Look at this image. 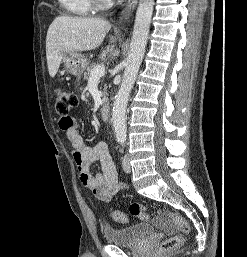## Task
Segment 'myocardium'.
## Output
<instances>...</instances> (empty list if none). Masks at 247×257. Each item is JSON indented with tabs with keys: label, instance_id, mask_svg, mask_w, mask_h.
I'll return each mask as SVG.
<instances>
[{
	"label": "myocardium",
	"instance_id": "f54148a6",
	"mask_svg": "<svg viewBox=\"0 0 247 257\" xmlns=\"http://www.w3.org/2000/svg\"><path fill=\"white\" fill-rule=\"evenodd\" d=\"M93 7L99 10L107 9L110 7V0H91Z\"/></svg>",
	"mask_w": 247,
	"mask_h": 257
}]
</instances>
